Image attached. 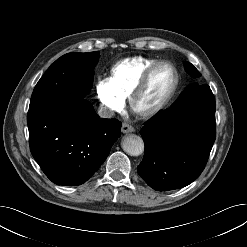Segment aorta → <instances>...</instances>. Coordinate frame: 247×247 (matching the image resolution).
Masks as SVG:
<instances>
[{
  "label": "aorta",
  "mask_w": 247,
  "mask_h": 247,
  "mask_svg": "<svg viewBox=\"0 0 247 247\" xmlns=\"http://www.w3.org/2000/svg\"><path fill=\"white\" fill-rule=\"evenodd\" d=\"M122 149L131 156H139L144 152V142L142 138L135 134H130L122 139Z\"/></svg>",
  "instance_id": "obj_1"
}]
</instances>
